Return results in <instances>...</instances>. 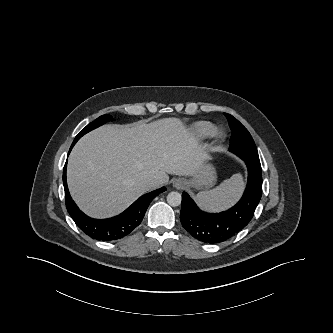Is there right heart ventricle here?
Returning <instances> with one entry per match:
<instances>
[{"label": "right heart ventricle", "instance_id": "e07e8e85", "mask_svg": "<svg viewBox=\"0 0 333 333\" xmlns=\"http://www.w3.org/2000/svg\"><path fill=\"white\" fill-rule=\"evenodd\" d=\"M192 132L197 138H206L212 132V124L207 121H198L192 125Z\"/></svg>", "mask_w": 333, "mask_h": 333}]
</instances>
